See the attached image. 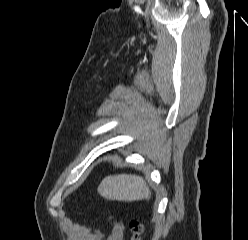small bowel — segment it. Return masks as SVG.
Returning a JSON list of instances; mask_svg holds the SVG:
<instances>
[{
	"label": "small bowel",
	"instance_id": "1",
	"mask_svg": "<svg viewBox=\"0 0 248 240\" xmlns=\"http://www.w3.org/2000/svg\"><path fill=\"white\" fill-rule=\"evenodd\" d=\"M109 222L112 225V236L107 240H124L123 225L113 218H110ZM102 238L103 234L100 231H96L89 237V240H99Z\"/></svg>",
	"mask_w": 248,
	"mask_h": 240
}]
</instances>
